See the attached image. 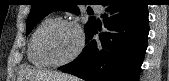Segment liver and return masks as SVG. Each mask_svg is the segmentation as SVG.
Instances as JSON below:
<instances>
[{"label": "liver", "mask_w": 169, "mask_h": 81, "mask_svg": "<svg viewBox=\"0 0 169 81\" xmlns=\"http://www.w3.org/2000/svg\"><path fill=\"white\" fill-rule=\"evenodd\" d=\"M23 75L30 81H76V78L64 73L31 68L24 70Z\"/></svg>", "instance_id": "1"}]
</instances>
